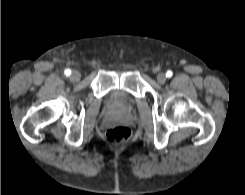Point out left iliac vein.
Masks as SVG:
<instances>
[{
    "mask_svg": "<svg viewBox=\"0 0 245 195\" xmlns=\"http://www.w3.org/2000/svg\"><path fill=\"white\" fill-rule=\"evenodd\" d=\"M167 80V76L164 74V73H159L157 75V81L160 83V84H164Z\"/></svg>",
    "mask_w": 245,
    "mask_h": 195,
    "instance_id": "obj_1",
    "label": "left iliac vein"
}]
</instances>
